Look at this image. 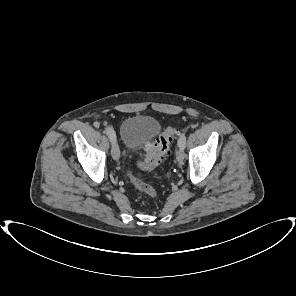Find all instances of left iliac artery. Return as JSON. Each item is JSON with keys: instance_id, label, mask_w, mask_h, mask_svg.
I'll return each instance as SVG.
<instances>
[{"instance_id": "left-iliac-artery-1", "label": "left iliac artery", "mask_w": 296, "mask_h": 296, "mask_svg": "<svg viewBox=\"0 0 296 296\" xmlns=\"http://www.w3.org/2000/svg\"><path fill=\"white\" fill-rule=\"evenodd\" d=\"M185 143H186V136L183 133V134L180 135V137L178 139V146L184 148L185 147Z\"/></svg>"}]
</instances>
